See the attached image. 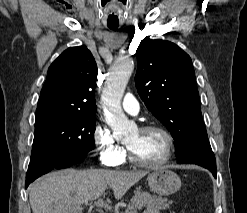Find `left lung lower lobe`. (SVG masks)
I'll use <instances>...</instances> for the list:
<instances>
[{
    "label": "left lung lower lobe",
    "instance_id": "left-lung-lower-lobe-1",
    "mask_svg": "<svg viewBox=\"0 0 247 213\" xmlns=\"http://www.w3.org/2000/svg\"><path fill=\"white\" fill-rule=\"evenodd\" d=\"M177 162L200 165L210 170L216 178V160L208 136L196 137L189 147L178 156Z\"/></svg>",
    "mask_w": 247,
    "mask_h": 213
}]
</instances>
